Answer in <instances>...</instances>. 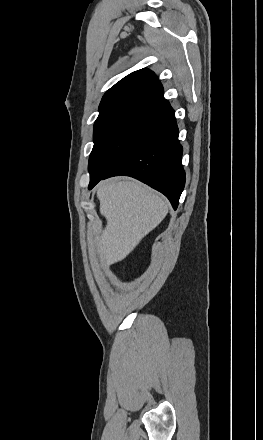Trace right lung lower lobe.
<instances>
[{
	"label": "right lung lower lobe",
	"instance_id": "obj_1",
	"mask_svg": "<svg viewBox=\"0 0 263 440\" xmlns=\"http://www.w3.org/2000/svg\"><path fill=\"white\" fill-rule=\"evenodd\" d=\"M178 134L174 110L166 101L110 170L101 177L90 179L88 188L92 189L100 180L112 176H131L163 193L176 209L185 185L183 149Z\"/></svg>",
	"mask_w": 263,
	"mask_h": 440
}]
</instances>
